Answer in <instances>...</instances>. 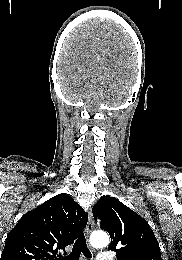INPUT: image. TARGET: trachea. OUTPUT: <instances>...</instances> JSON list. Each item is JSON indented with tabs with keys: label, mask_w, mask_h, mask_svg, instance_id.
I'll use <instances>...</instances> for the list:
<instances>
[{
	"label": "trachea",
	"mask_w": 182,
	"mask_h": 260,
	"mask_svg": "<svg viewBox=\"0 0 182 260\" xmlns=\"http://www.w3.org/2000/svg\"><path fill=\"white\" fill-rule=\"evenodd\" d=\"M81 253H83L87 258H91V253L87 247L84 233H81L77 238L72 252L66 257H60L59 260H78Z\"/></svg>",
	"instance_id": "trachea-1"
}]
</instances>
